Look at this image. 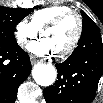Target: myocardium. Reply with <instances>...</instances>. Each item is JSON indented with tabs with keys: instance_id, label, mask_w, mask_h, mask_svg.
<instances>
[{
	"instance_id": "f54148a6",
	"label": "myocardium",
	"mask_w": 103,
	"mask_h": 103,
	"mask_svg": "<svg viewBox=\"0 0 103 103\" xmlns=\"http://www.w3.org/2000/svg\"><path fill=\"white\" fill-rule=\"evenodd\" d=\"M70 17H74L77 20L76 34H75L74 38L72 39V41L70 42V44L67 47H65L63 50H61L59 52H56V55L59 58H64V57L70 55L75 50L77 45L79 44L80 39H81L82 34H83V26H84L83 25V19H82L81 15L78 12L74 11V10L67 11L65 13L60 14L56 18H54L51 22L46 24L41 29V35H43L44 32L58 27L66 19H68Z\"/></svg>"
}]
</instances>
